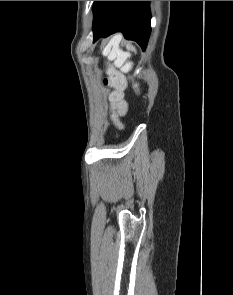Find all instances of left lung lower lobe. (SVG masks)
I'll use <instances>...</instances> for the list:
<instances>
[{
  "label": "left lung lower lobe",
  "mask_w": 233,
  "mask_h": 295,
  "mask_svg": "<svg viewBox=\"0 0 233 295\" xmlns=\"http://www.w3.org/2000/svg\"><path fill=\"white\" fill-rule=\"evenodd\" d=\"M93 42L115 32L145 50L151 32L149 1H95Z\"/></svg>",
  "instance_id": "0a47b994"
}]
</instances>
